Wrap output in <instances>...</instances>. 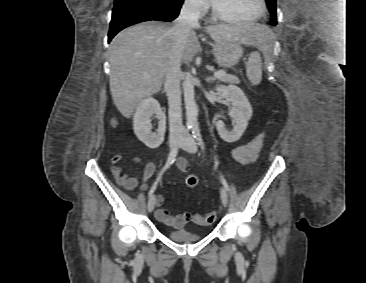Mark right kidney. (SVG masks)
<instances>
[{"label": "right kidney", "mask_w": 366, "mask_h": 283, "mask_svg": "<svg viewBox=\"0 0 366 283\" xmlns=\"http://www.w3.org/2000/svg\"><path fill=\"white\" fill-rule=\"evenodd\" d=\"M158 119V129L151 131V118ZM133 129L137 138L151 149L158 148L164 141L166 116L157 100L148 97L136 107L133 117Z\"/></svg>", "instance_id": "ca27d5eb"}]
</instances>
